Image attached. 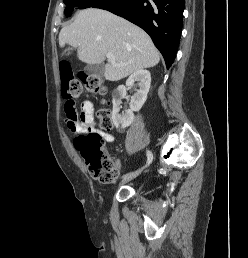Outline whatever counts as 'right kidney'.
<instances>
[{
  "mask_svg": "<svg viewBox=\"0 0 248 258\" xmlns=\"http://www.w3.org/2000/svg\"><path fill=\"white\" fill-rule=\"evenodd\" d=\"M135 82L139 84V90L131 97L130 109L119 114L121 109V98L126 94L128 88ZM151 85V75L147 70H138L126 80L125 86L121 85L113 92L112 121L116 128L124 129L130 126L134 120V113L144 105Z\"/></svg>",
  "mask_w": 248,
  "mask_h": 258,
  "instance_id": "ca27d5eb",
  "label": "right kidney"
}]
</instances>
